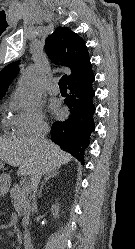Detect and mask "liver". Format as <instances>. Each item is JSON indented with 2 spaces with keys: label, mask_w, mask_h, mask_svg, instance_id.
<instances>
[{
  "label": "liver",
  "mask_w": 135,
  "mask_h": 249,
  "mask_svg": "<svg viewBox=\"0 0 135 249\" xmlns=\"http://www.w3.org/2000/svg\"><path fill=\"white\" fill-rule=\"evenodd\" d=\"M17 167L21 176L47 174L72 160L70 154L64 152L53 142L46 140L37 143L34 138L0 137V161Z\"/></svg>",
  "instance_id": "liver-1"
}]
</instances>
